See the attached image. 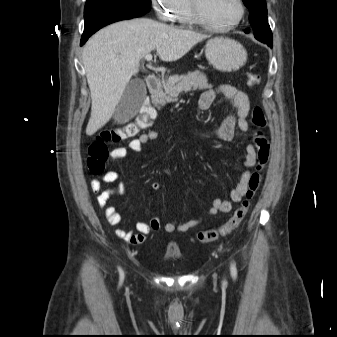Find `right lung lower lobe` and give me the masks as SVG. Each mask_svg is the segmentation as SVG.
I'll use <instances>...</instances> for the list:
<instances>
[{
	"instance_id": "right-lung-lower-lobe-1",
	"label": "right lung lower lobe",
	"mask_w": 337,
	"mask_h": 337,
	"mask_svg": "<svg viewBox=\"0 0 337 337\" xmlns=\"http://www.w3.org/2000/svg\"><path fill=\"white\" fill-rule=\"evenodd\" d=\"M147 12L127 9L123 7H110L101 9L85 17L84 32L80 45L82 46L88 38L100 28L116 21L132 19L143 16Z\"/></svg>"
}]
</instances>
